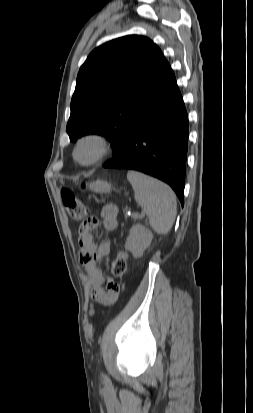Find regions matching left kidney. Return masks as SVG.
<instances>
[{
	"instance_id": "1",
	"label": "left kidney",
	"mask_w": 253,
	"mask_h": 413,
	"mask_svg": "<svg viewBox=\"0 0 253 413\" xmlns=\"http://www.w3.org/2000/svg\"><path fill=\"white\" fill-rule=\"evenodd\" d=\"M153 239L152 232L140 224L132 226L125 242V249L129 250L134 258H139L149 247Z\"/></svg>"
}]
</instances>
